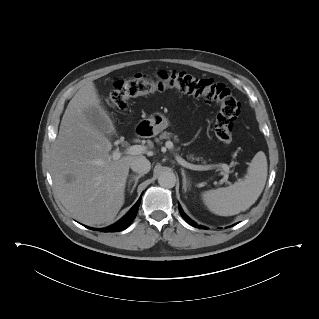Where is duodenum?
I'll return each mask as SVG.
<instances>
[{
	"instance_id": "410a0bca",
	"label": "duodenum",
	"mask_w": 319,
	"mask_h": 319,
	"mask_svg": "<svg viewBox=\"0 0 319 319\" xmlns=\"http://www.w3.org/2000/svg\"><path fill=\"white\" fill-rule=\"evenodd\" d=\"M138 133H139V134H142V133H143V131H142L141 128L138 129Z\"/></svg>"
}]
</instances>
